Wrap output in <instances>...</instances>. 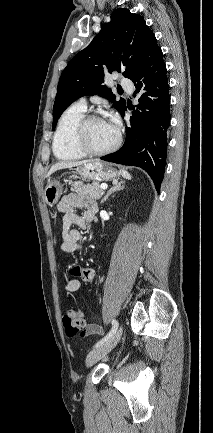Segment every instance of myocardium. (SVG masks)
I'll list each match as a JSON object with an SVG mask.
<instances>
[{
  "mask_svg": "<svg viewBox=\"0 0 213 433\" xmlns=\"http://www.w3.org/2000/svg\"><path fill=\"white\" fill-rule=\"evenodd\" d=\"M94 120H104L103 116L98 113L84 114V116L78 122L74 131V142L79 151L87 156H104L116 151L122 142V135L119 129H117V138L115 143L107 149L95 150L91 148L87 142L86 131L90 122Z\"/></svg>",
  "mask_w": 213,
  "mask_h": 433,
  "instance_id": "myocardium-1",
  "label": "myocardium"
}]
</instances>
